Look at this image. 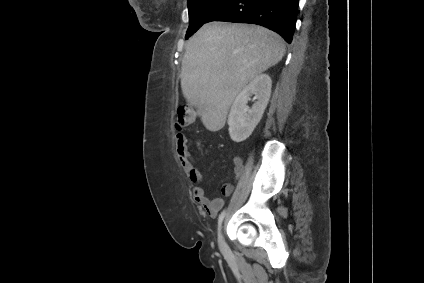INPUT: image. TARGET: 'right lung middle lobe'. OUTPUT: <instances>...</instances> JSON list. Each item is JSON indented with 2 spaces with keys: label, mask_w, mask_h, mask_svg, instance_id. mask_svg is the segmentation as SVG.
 <instances>
[{
  "label": "right lung middle lobe",
  "mask_w": 424,
  "mask_h": 283,
  "mask_svg": "<svg viewBox=\"0 0 424 283\" xmlns=\"http://www.w3.org/2000/svg\"><path fill=\"white\" fill-rule=\"evenodd\" d=\"M229 0H188L189 28L186 39L193 35L214 13L223 8Z\"/></svg>",
  "instance_id": "dd1d6c3e"
}]
</instances>
